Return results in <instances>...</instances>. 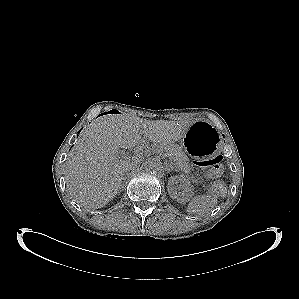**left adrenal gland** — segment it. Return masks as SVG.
<instances>
[{"label": "left adrenal gland", "mask_w": 299, "mask_h": 299, "mask_svg": "<svg viewBox=\"0 0 299 299\" xmlns=\"http://www.w3.org/2000/svg\"><path fill=\"white\" fill-rule=\"evenodd\" d=\"M168 172H171V171H174L175 169H174V167L170 164V165H168Z\"/></svg>", "instance_id": "1"}]
</instances>
